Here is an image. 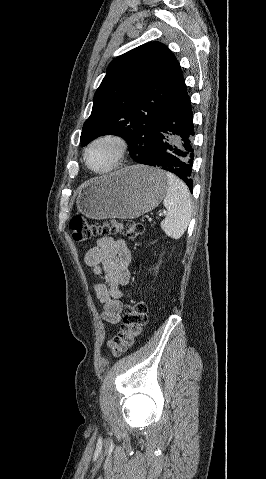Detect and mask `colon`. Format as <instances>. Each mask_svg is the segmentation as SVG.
Wrapping results in <instances>:
<instances>
[{
	"instance_id": "obj_1",
	"label": "colon",
	"mask_w": 266,
	"mask_h": 479,
	"mask_svg": "<svg viewBox=\"0 0 266 479\" xmlns=\"http://www.w3.org/2000/svg\"><path fill=\"white\" fill-rule=\"evenodd\" d=\"M72 238L76 243H85L98 234L120 233L135 241L144 233L142 223L131 219L110 220L94 223L81 216H74L69 223ZM147 322V306L143 301H132L125 307L120 331L108 342L113 355L117 356L130 349L144 330Z\"/></svg>"
}]
</instances>
